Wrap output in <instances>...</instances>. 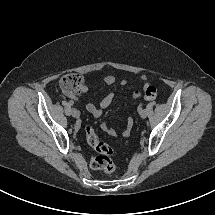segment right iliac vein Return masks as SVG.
<instances>
[{
  "mask_svg": "<svg viewBox=\"0 0 215 215\" xmlns=\"http://www.w3.org/2000/svg\"><path fill=\"white\" fill-rule=\"evenodd\" d=\"M71 114L75 118L79 117V115H80V113L77 109H72Z\"/></svg>",
  "mask_w": 215,
  "mask_h": 215,
  "instance_id": "1",
  "label": "right iliac vein"
}]
</instances>
